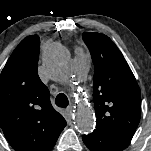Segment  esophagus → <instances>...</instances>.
<instances>
[{
	"instance_id": "1",
	"label": "esophagus",
	"mask_w": 151,
	"mask_h": 151,
	"mask_svg": "<svg viewBox=\"0 0 151 151\" xmlns=\"http://www.w3.org/2000/svg\"><path fill=\"white\" fill-rule=\"evenodd\" d=\"M72 111H73V107H72V106H69V107L67 108V112H68L69 114H72Z\"/></svg>"
}]
</instances>
